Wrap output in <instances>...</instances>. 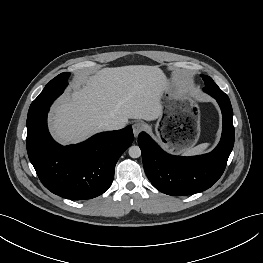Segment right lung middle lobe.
I'll return each mask as SVG.
<instances>
[{"label":"right lung middle lobe","mask_w":263,"mask_h":263,"mask_svg":"<svg viewBox=\"0 0 263 263\" xmlns=\"http://www.w3.org/2000/svg\"><path fill=\"white\" fill-rule=\"evenodd\" d=\"M70 73H61L52 79L32 102L28 114L52 103L59 95L62 94L67 86V79Z\"/></svg>","instance_id":"1"}]
</instances>
